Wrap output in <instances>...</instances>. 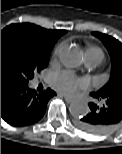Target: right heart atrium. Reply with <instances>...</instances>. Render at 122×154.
Returning <instances> with one entry per match:
<instances>
[{
  "instance_id": "right-heart-atrium-1",
  "label": "right heart atrium",
  "mask_w": 122,
  "mask_h": 154,
  "mask_svg": "<svg viewBox=\"0 0 122 154\" xmlns=\"http://www.w3.org/2000/svg\"><path fill=\"white\" fill-rule=\"evenodd\" d=\"M61 49H62V45H59L57 46L55 49H54V52H53V57H58L60 52H61Z\"/></svg>"
}]
</instances>
